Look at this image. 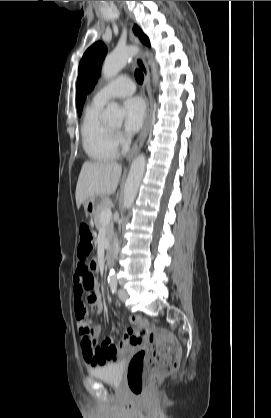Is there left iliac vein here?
<instances>
[{
  "label": "left iliac vein",
  "instance_id": "4c4485c4",
  "mask_svg": "<svg viewBox=\"0 0 271 418\" xmlns=\"http://www.w3.org/2000/svg\"><path fill=\"white\" fill-rule=\"evenodd\" d=\"M118 296H119V299H120L122 302H125V301L129 298V294L127 293V291H125V290H123V289H120V290L118 291Z\"/></svg>",
  "mask_w": 271,
  "mask_h": 418
}]
</instances>
